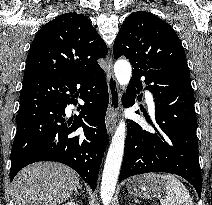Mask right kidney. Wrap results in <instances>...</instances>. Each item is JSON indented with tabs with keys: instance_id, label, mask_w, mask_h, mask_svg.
Wrapping results in <instances>:
<instances>
[{
	"instance_id": "1",
	"label": "right kidney",
	"mask_w": 212,
	"mask_h": 205,
	"mask_svg": "<svg viewBox=\"0 0 212 205\" xmlns=\"http://www.w3.org/2000/svg\"><path fill=\"white\" fill-rule=\"evenodd\" d=\"M63 205H78V204H77V203H75V202H73V201H71V202H68V203L63 204Z\"/></svg>"
}]
</instances>
